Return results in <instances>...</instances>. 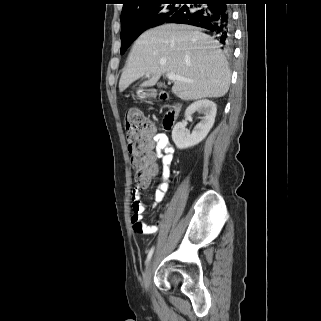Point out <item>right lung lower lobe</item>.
<instances>
[{
  "instance_id": "right-lung-lower-lobe-1",
  "label": "right lung lower lobe",
  "mask_w": 321,
  "mask_h": 321,
  "mask_svg": "<svg viewBox=\"0 0 321 321\" xmlns=\"http://www.w3.org/2000/svg\"><path fill=\"white\" fill-rule=\"evenodd\" d=\"M183 3L185 5L173 13L165 23H181L206 28L217 35L221 44L230 45L232 26L228 4L231 0H185Z\"/></svg>"
}]
</instances>
